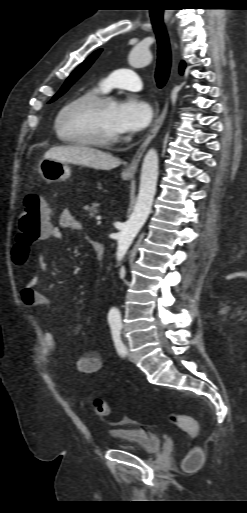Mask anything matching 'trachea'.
I'll return each mask as SVG.
<instances>
[{"mask_svg":"<svg viewBox=\"0 0 247 513\" xmlns=\"http://www.w3.org/2000/svg\"><path fill=\"white\" fill-rule=\"evenodd\" d=\"M151 22L156 33L158 43V58L155 78L157 86L162 88L166 84L170 73L171 49L163 21L152 17Z\"/></svg>","mask_w":247,"mask_h":513,"instance_id":"trachea-1","label":"trachea"}]
</instances>
